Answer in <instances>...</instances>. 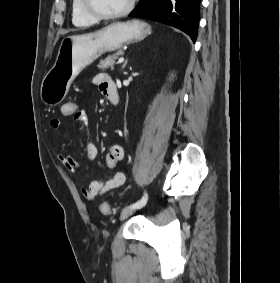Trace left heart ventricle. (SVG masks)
<instances>
[{"mask_svg": "<svg viewBox=\"0 0 280 283\" xmlns=\"http://www.w3.org/2000/svg\"><path fill=\"white\" fill-rule=\"evenodd\" d=\"M129 0H90L91 6L103 14H113L124 9Z\"/></svg>", "mask_w": 280, "mask_h": 283, "instance_id": "b2bd125f", "label": "left heart ventricle"}]
</instances>
